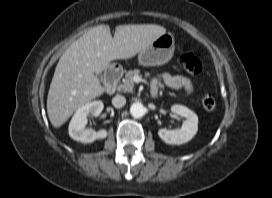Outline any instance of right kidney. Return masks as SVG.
<instances>
[{
    "mask_svg": "<svg viewBox=\"0 0 272 198\" xmlns=\"http://www.w3.org/2000/svg\"><path fill=\"white\" fill-rule=\"evenodd\" d=\"M104 108L102 101H92L78 108L73 115L69 124V136L82 143H92L96 139H104L107 137V130L101 129L95 131L92 129H85L87 125V116H99Z\"/></svg>",
    "mask_w": 272,
    "mask_h": 198,
    "instance_id": "right-kidney-1",
    "label": "right kidney"
}]
</instances>
